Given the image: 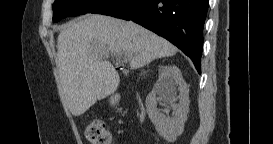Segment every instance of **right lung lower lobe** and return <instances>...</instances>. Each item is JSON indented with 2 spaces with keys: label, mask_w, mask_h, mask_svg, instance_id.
Returning a JSON list of instances; mask_svg holds the SVG:
<instances>
[{
  "label": "right lung lower lobe",
  "mask_w": 273,
  "mask_h": 144,
  "mask_svg": "<svg viewBox=\"0 0 273 144\" xmlns=\"http://www.w3.org/2000/svg\"><path fill=\"white\" fill-rule=\"evenodd\" d=\"M208 5L209 0H109L91 13L134 21L166 38L200 73Z\"/></svg>",
  "instance_id": "obj_1"
}]
</instances>
